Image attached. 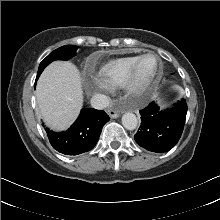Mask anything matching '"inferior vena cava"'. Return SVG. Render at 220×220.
<instances>
[{"label":"inferior vena cava","mask_w":220,"mask_h":220,"mask_svg":"<svg viewBox=\"0 0 220 220\" xmlns=\"http://www.w3.org/2000/svg\"><path fill=\"white\" fill-rule=\"evenodd\" d=\"M109 103V98L104 94H96L91 98V105L95 109H104L108 107Z\"/></svg>","instance_id":"1"}]
</instances>
